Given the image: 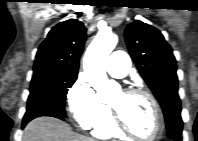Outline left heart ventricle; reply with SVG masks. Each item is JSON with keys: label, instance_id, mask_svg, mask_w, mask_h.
I'll use <instances>...</instances> for the list:
<instances>
[{"label": "left heart ventricle", "instance_id": "left-heart-ventricle-1", "mask_svg": "<svg viewBox=\"0 0 198 141\" xmlns=\"http://www.w3.org/2000/svg\"><path fill=\"white\" fill-rule=\"evenodd\" d=\"M110 105L121 115L124 123L142 138L151 137L155 130V116L149 99L140 94L118 92Z\"/></svg>", "mask_w": 198, "mask_h": 141}]
</instances>
